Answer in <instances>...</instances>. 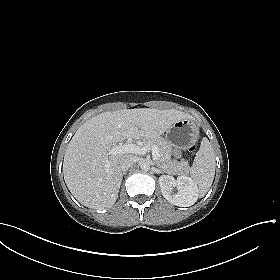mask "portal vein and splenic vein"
<instances>
[{"label": "portal vein and splenic vein", "instance_id": "1", "mask_svg": "<svg viewBox=\"0 0 280 280\" xmlns=\"http://www.w3.org/2000/svg\"><path fill=\"white\" fill-rule=\"evenodd\" d=\"M152 151L153 160L156 161L159 157V148L156 145H143L138 146L132 143L124 144V145H115L113 146L109 153L110 154H126V153H133V154H145L147 151ZM106 168L108 170L109 164H106Z\"/></svg>", "mask_w": 280, "mask_h": 280}]
</instances>
